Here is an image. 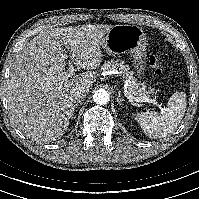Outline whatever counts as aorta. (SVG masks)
Wrapping results in <instances>:
<instances>
[{"instance_id":"1","label":"aorta","mask_w":199,"mask_h":199,"mask_svg":"<svg viewBox=\"0 0 199 199\" xmlns=\"http://www.w3.org/2000/svg\"><path fill=\"white\" fill-rule=\"evenodd\" d=\"M109 93L104 89H98L93 94V101L98 105H105L109 102Z\"/></svg>"}]
</instances>
